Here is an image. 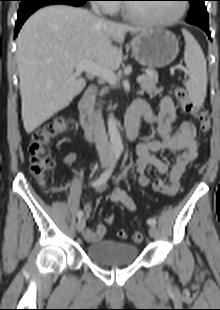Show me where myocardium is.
Returning a JSON list of instances; mask_svg holds the SVG:
<instances>
[{
  "label": "myocardium",
  "instance_id": "obj_1",
  "mask_svg": "<svg viewBox=\"0 0 220 310\" xmlns=\"http://www.w3.org/2000/svg\"><path fill=\"white\" fill-rule=\"evenodd\" d=\"M122 12L123 15L132 22L151 27H167L175 24L185 15L186 4L184 2H181L177 14L165 20H152L142 16H138L131 11L129 4H124L122 6Z\"/></svg>",
  "mask_w": 220,
  "mask_h": 310
}]
</instances>
